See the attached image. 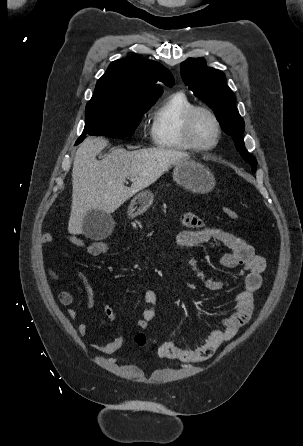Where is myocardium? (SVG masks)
<instances>
[{
    "instance_id": "obj_1",
    "label": "myocardium",
    "mask_w": 303,
    "mask_h": 446,
    "mask_svg": "<svg viewBox=\"0 0 303 446\" xmlns=\"http://www.w3.org/2000/svg\"><path fill=\"white\" fill-rule=\"evenodd\" d=\"M200 112L207 114L212 119L215 129H216L215 140L209 146L198 145L192 136V123H193V120H194V117L196 116V114H198ZM182 135H183L184 141L191 149L196 150V151H201V152L211 151L217 147V145L219 144V142L221 140L222 128H221V124L219 122L218 117L212 110H210L209 108L204 107V106H194L184 116L183 124H182Z\"/></svg>"
}]
</instances>
